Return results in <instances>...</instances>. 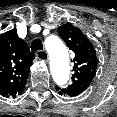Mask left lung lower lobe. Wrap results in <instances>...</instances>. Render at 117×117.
I'll return each mask as SVG.
<instances>
[{
  "label": "left lung lower lobe",
  "mask_w": 117,
  "mask_h": 117,
  "mask_svg": "<svg viewBox=\"0 0 117 117\" xmlns=\"http://www.w3.org/2000/svg\"><path fill=\"white\" fill-rule=\"evenodd\" d=\"M59 94H61V95H62V92H61V91H59Z\"/></svg>",
  "instance_id": "obj_1"
}]
</instances>
